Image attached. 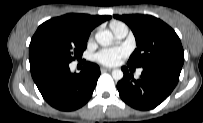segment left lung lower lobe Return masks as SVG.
<instances>
[{
	"mask_svg": "<svg viewBox=\"0 0 203 123\" xmlns=\"http://www.w3.org/2000/svg\"><path fill=\"white\" fill-rule=\"evenodd\" d=\"M132 70L133 66H130ZM182 67L177 65H149L143 67L139 79H134L126 67L117 89L122 100L139 110H150L162 103L178 83Z\"/></svg>",
	"mask_w": 203,
	"mask_h": 123,
	"instance_id": "obj_1",
	"label": "left lung lower lobe"
}]
</instances>
